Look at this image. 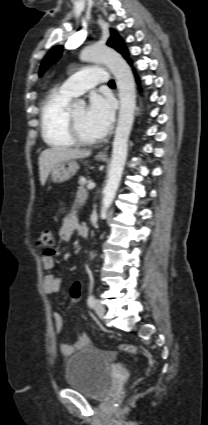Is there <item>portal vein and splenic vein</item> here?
Instances as JSON below:
<instances>
[{
  "label": "portal vein and splenic vein",
  "mask_w": 208,
  "mask_h": 425,
  "mask_svg": "<svg viewBox=\"0 0 208 425\" xmlns=\"http://www.w3.org/2000/svg\"><path fill=\"white\" fill-rule=\"evenodd\" d=\"M94 187H95V183H93V182H90V183L87 185V188H88L89 190L93 189Z\"/></svg>",
  "instance_id": "portal-vein-and-splenic-vein-1"
}]
</instances>
